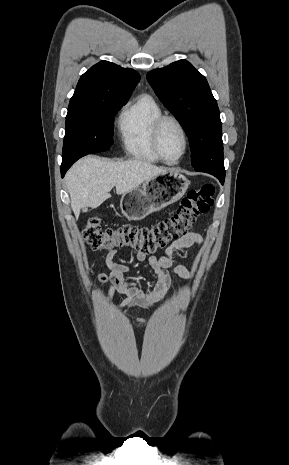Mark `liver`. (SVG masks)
<instances>
[{
	"label": "liver",
	"instance_id": "obj_1",
	"mask_svg": "<svg viewBox=\"0 0 289 465\" xmlns=\"http://www.w3.org/2000/svg\"><path fill=\"white\" fill-rule=\"evenodd\" d=\"M169 170L138 159L114 162L99 157H84L65 176L71 208L78 218L81 208H97L110 198L113 187H116L118 195L125 194Z\"/></svg>",
	"mask_w": 289,
	"mask_h": 465
}]
</instances>
